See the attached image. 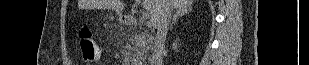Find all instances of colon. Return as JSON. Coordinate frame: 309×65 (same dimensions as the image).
<instances>
[{
    "instance_id": "colon-1",
    "label": "colon",
    "mask_w": 309,
    "mask_h": 65,
    "mask_svg": "<svg viewBox=\"0 0 309 65\" xmlns=\"http://www.w3.org/2000/svg\"><path fill=\"white\" fill-rule=\"evenodd\" d=\"M79 44L82 59L85 64H93L99 60V49L95 43L90 29L84 27L79 33Z\"/></svg>"
}]
</instances>
